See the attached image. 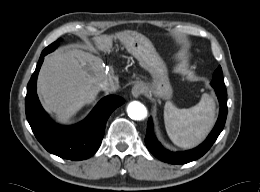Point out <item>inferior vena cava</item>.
<instances>
[{"label":"inferior vena cava","mask_w":260,"mask_h":192,"mask_svg":"<svg viewBox=\"0 0 260 192\" xmlns=\"http://www.w3.org/2000/svg\"><path fill=\"white\" fill-rule=\"evenodd\" d=\"M100 87L104 91L114 92V91L118 90L120 87L118 78H116V77L109 78V79L105 80L104 82H102L100 84Z\"/></svg>","instance_id":"obj_1"}]
</instances>
